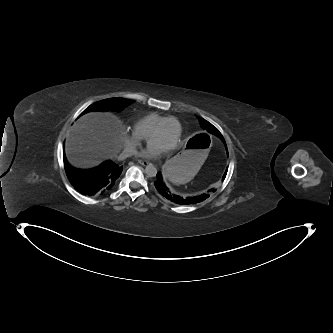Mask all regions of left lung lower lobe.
<instances>
[{
  "label": "left lung lower lobe",
  "instance_id": "1",
  "mask_svg": "<svg viewBox=\"0 0 333 333\" xmlns=\"http://www.w3.org/2000/svg\"><path fill=\"white\" fill-rule=\"evenodd\" d=\"M224 143L223 137H219ZM157 179L154 182L155 188L157 191L166 198L167 200L175 203V204H180V205H190V204H196L199 202L204 201L207 199L210 195L209 194H202V195H197L194 197H183L180 195H176L172 193L169 188L166 186L165 182L163 181L162 175L160 172L157 173L156 175Z\"/></svg>",
  "mask_w": 333,
  "mask_h": 333
}]
</instances>
